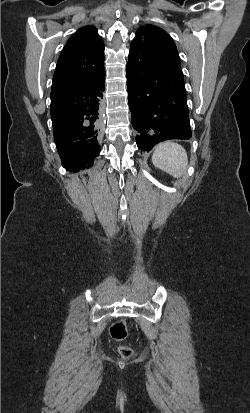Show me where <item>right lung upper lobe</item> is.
<instances>
[{"label":"right lung upper lobe","instance_id":"cb5924a9","mask_svg":"<svg viewBox=\"0 0 250 413\" xmlns=\"http://www.w3.org/2000/svg\"><path fill=\"white\" fill-rule=\"evenodd\" d=\"M104 70V43L93 26H85L67 41L58 59L51 90L93 80Z\"/></svg>","mask_w":250,"mask_h":413}]
</instances>
